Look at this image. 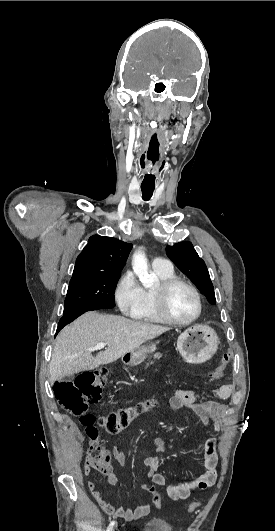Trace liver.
I'll return each instance as SVG.
<instances>
[{"instance_id":"liver-1","label":"liver","mask_w":275,"mask_h":531,"mask_svg":"<svg viewBox=\"0 0 275 531\" xmlns=\"http://www.w3.org/2000/svg\"><path fill=\"white\" fill-rule=\"evenodd\" d=\"M166 331H170L169 327L89 311L59 333L49 363L50 383L53 385L60 377L113 363ZM98 343H106L107 349L93 357L92 351L87 349L96 347Z\"/></svg>"}]
</instances>
